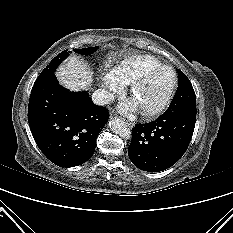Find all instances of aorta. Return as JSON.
<instances>
[{"label":"aorta","mask_w":233,"mask_h":233,"mask_svg":"<svg viewBox=\"0 0 233 233\" xmlns=\"http://www.w3.org/2000/svg\"><path fill=\"white\" fill-rule=\"evenodd\" d=\"M109 127H110V129H111V131L113 133L118 134L122 138H125V139H130L131 138V131H130V129L119 118H112L109 121Z\"/></svg>","instance_id":"obj_1"}]
</instances>
